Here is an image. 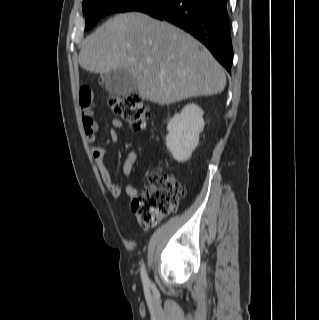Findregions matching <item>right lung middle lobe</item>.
<instances>
[{
	"label": "right lung middle lobe",
	"instance_id": "dd1d6c3e",
	"mask_svg": "<svg viewBox=\"0 0 319 320\" xmlns=\"http://www.w3.org/2000/svg\"><path fill=\"white\" fill-rule=\"evenodd\" d=\"M158 0H84L83 13L86 17L85 29L92 28L98 20L110 13L137 11L139 8Z\"/></svg>",
	"mask_w": 319,
	"mask_h": 320
}]
</instances>
